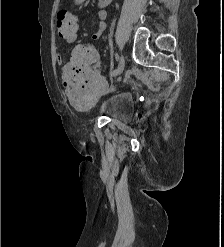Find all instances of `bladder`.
Returning a JSON list of instances; mask_svg holds the SVG:
<instances>
[{
	"label": "bladder",
	"mask_w": 224,
	"mask_h": 247,
	"mask_svg": "<svg viewBox=\"0 0 224 247\" xmlns=\"http://www.w3.org/2000/svg\"><path fill=\"white\" fill-rule=\"evenodd\" d=\"M135 103L130 92L116 91L107 95L97 106L96 113L121 122H130L134 117Z\"/></svg>",
	"instance_id": "obj_1"
}]
</instances>
